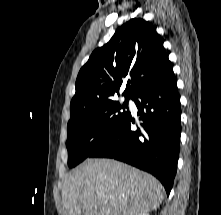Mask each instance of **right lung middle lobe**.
Returning a JSON list of instances; mask_svg holds the SVG:
<instances>
[{"label": "right lung middle lobe", "mask_w": 221, "mask_h": 215, "mask_svg": "<svg viewBox=\"0 0 221 215\" xmlns=\"http://www.w3.org/2000/svg\"><path fill=\"white\" fill-rule=\"evenodd\" d=\"M128 100L120 104L115 99L70 105L68 122V166L74 167L102 144L128 115Z\"/></svg>", "instance_id": "dd1d6c3e"}]
</instances>
